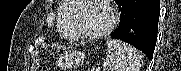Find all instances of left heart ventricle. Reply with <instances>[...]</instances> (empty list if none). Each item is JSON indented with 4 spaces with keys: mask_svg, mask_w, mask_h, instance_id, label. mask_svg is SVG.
<instances>
[{
    "mask_svg": "<svg viewBox=\"0 0 181 71\" xmlns=\"http://www.w3.org/2000/svg\"><path fill=\"white\" fill-rule=\"evenodd\" d=\"M109 22L107 10L96 1H86L78 17V29L93 34L104 29Z\"/></svg>",
    "mask_w": 181,
    "mask_h": 71,
    "instance_id": "b2bd125f",
    "label": "left heart ventricle"
}]
</instances>
